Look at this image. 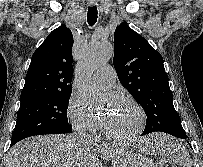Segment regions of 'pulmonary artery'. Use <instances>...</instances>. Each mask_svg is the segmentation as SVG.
Listing matches in <instances>:
<instances>
[{"label": "pulmonary artery", "instance_id": "e3ab8cb5", "mask_svg": "<svg viewBox=\"0 0 203 167\" xmlns=\"http://www.w3.org/2000/svg\"><path fill=\"white\" fill-rule=\"evenodd\" d=\"M115 80L116 73L114 68L110 65L100 67L93 77L94 84L102 90L111 88Z\"/></svg>", "mask_w": 203, "mask_h": 167}]
</instances>
